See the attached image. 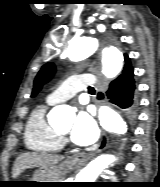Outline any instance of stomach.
<instances>
[{
  "mask_svg": "<svg viewBox=\"0 0 160 187\" xmlns=\"http://www.w3.org/2000/svg\"><path fill=\"white\" fill-rule=\"evenodd\" d=\"M73 167L72 164L67 163L62 166H49V167H43L39 168L35 173L33 174V177L31 178L32 183H29L28 186L30 187H50V186H56L54 184L58 183H44V182H61L58 181L62 178L63 175V169L69 170Z\"/></svg>",
  "mask_w": 160,
  "mask_h": 187,
  "instance_id": "stomach-1",
  "label": "stomach"
}]
</instances>
